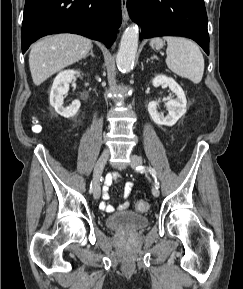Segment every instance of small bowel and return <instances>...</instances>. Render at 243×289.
Here are the masks:
<instances>
[{
    "instance_id": "obj_1",
    "label": "small bowel",
    "mask_w": 243,
    "mask_h": 289,
    "mask_svg": "<svg viewBox=\"0 0 243 289\" xmlns=\"http://www.w3.org/2000/svg\"><path fill=\"white\" fill-rule=\"evenodd\" d=\"M120 181H121V177L118 173H111L106 177L104 186H103V195H102L103 201L100 203L101 210L108 212V213L114 212L116 210L114 206L107 203V200L110 197L108 191H109L110 186L113 183L120 182ZM133 186H134L133 182H126L124 184L123 197L125 199L130 195L133 189ZM128 206H129V202L125 201L117 208V210H125L127 209Z\"/></svg>"
}]
</instances>
